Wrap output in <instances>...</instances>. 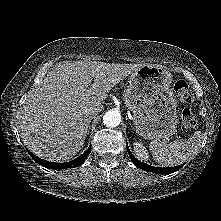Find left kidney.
Segmentation results:
<instances>
[{
  "label": "left kidney",
  "instance_id": "5707ae66",
  "mask_svg": "<svg viewBox=\"0 0 221 221\" xmlns=\"http://www.w3.org/2000/svg\"><path fill=\"white\" fill-rule=\"evenodd\" d=\"M133 149H134V152H135V154L138 158H141L142 160H148L149 159L148 152H147L145 146L142 143L135 142L133 144Z\"/></svg>",
  "mask_w": 221,
  "mask_h": 221
}]
</instances>
